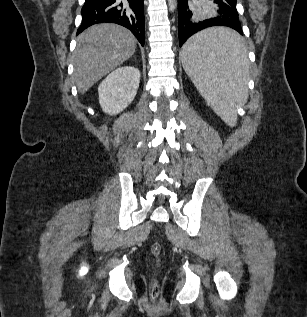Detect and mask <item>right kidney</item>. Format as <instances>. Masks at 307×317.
Returning a JSON list of instances; mask_svg holds the SVG:
<instances>
[{"label":"right kidney","instance_id":"right-kidney-1","mask_svg":"<svg viewBox=\"0 0 307 317\" xmlns=\"http://www.w3.org/2000/svg\"><path fill=\"white\" fill-rule=\"evenodd\" d=\"M140 83V71L124 66L110 73L99 85V103L109 115L122 112L134 100Z\"/></svg>","mask_w":307,"mask_h":317}]
</instances>
